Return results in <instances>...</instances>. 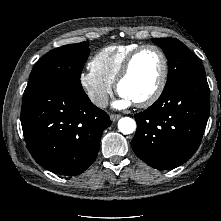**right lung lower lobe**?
<instances>
[{"label": "right lung lower lobe", "instance_id": "obj_1", "mask_svg": "<svg viewBox=\"0 0 221 221\" xmlns=\"http://www.w3.org/2000/svg\"><path fill=\"white\" fill-rule=\"evenodd\" d=\"M82 88L28 83L21 124L28 150L45 169L79 175L95 160L103 131L110 125Z\"/></svg>", "mask_w": 221, "mask_h": 221}]
</instances>
